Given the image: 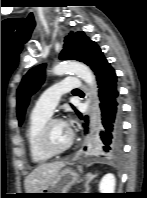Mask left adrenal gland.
<instances>
[{"mask_svg": "<svg viewBox=\"0 0 147 198\" xmlns=\"http://www.w3.org/2000/svg\"><path fill=\"white\" fill-rule=\"evenodd\" d=\"M97 177V174L87 173L85 176V193H89L90 190V182Z\"/></svg>", "mask_w": 147, "mask_h": 198, "instance_id": "1", "label": "left adrenal gland"}]
</instances>
